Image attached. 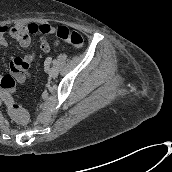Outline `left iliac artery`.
I'll return each mask as SVG.
<instances>
[{"label": "left iliac artery", "instance_id": "left-iliac-artery-1", "mask_svg": "<svg viewBox=\"0 0 172 172\" xmlns=\"http://www.w3.org/2000/svg\"><path fill=\"white\" fill-rule=\"evenodd\" d=\"M47 60L51 62L52 59L49 57L47 58ZM53 63H55V60L53 61Z\"/></svg>", "mask_w": 172, "mask_h": 172}]
</instances>
